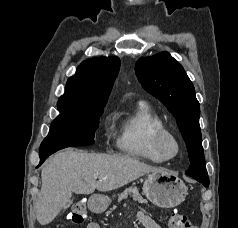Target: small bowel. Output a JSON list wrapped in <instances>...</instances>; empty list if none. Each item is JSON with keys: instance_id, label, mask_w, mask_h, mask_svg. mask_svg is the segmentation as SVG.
I'll return each mask as SVG.
<instances>
[{"instance_id": "small-bowel-1", "label": "small bowel", "mask_w": 238, "mask_h": 228, "mask_svg": "<svg viewBox=\"0 0 238 228\" xmlns=\"http://www.w3.org/2000/svg\"><path fill=\"white\" fill-rule=\"evenodd\" d=\"M137 217L144 228H161L152 217L145 213L140 212ZM86 228H101V226L97 222H90Z\"/></svg>"}]
</instances>
